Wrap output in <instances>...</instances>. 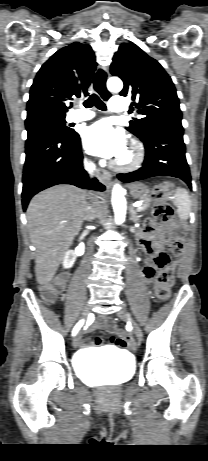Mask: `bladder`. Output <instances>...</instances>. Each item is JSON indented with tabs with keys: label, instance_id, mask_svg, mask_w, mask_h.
Masks as SVG:
<instances>
[{
	"label": "bladder",
	"instance_id": "1",
	"mask_svg": "<svg viewBox=\"0 0 208 461\" xmlns=\"http://www.w3.org/2000/svg\"><path fill=\"white\" fill-rule=\"evenodd\" d=\"M101 353L100 359L87 352L75 359L74 369L81 379L92 385H120L132 377L134 361L131 357L110 351Z\"/></svg>",
	"mask_w": 208,
	"mask_h": 461
}]
</instances>
